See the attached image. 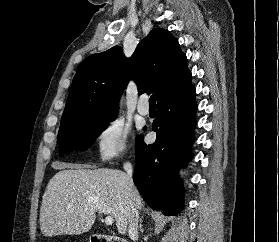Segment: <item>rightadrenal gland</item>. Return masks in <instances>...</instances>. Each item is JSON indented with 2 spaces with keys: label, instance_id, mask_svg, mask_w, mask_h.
<instances>
[{
  "label": "right adrenal gland",
  "instance_id": "1",
  "mask_svg": "<svg viewBox=\"0 0 279 242\" xmlns=\"http://www.w3.org/2000/svg\"><path fill=\"white\" fill-rule=\"evenodd\" d=\"M142 219H143V217L140 218V231L143 233L144 228H143V225H142Z\"/></svg>",
  "mask_w": 279,
  "mask_h": 242
}]
</instances>
